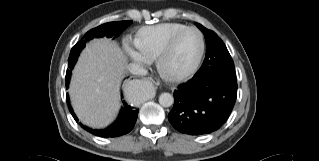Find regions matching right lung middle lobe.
I'll return each mask as SVG.
<instances>
[{"label": "right lung middle lobe", "instance_id": "right-lung-middle-lobe-1", "mask_svg": "<svg viewBox=\"0 0 319 161\" xmlns=\"http://www.w3.org/2000/svg\"><path fill=\"white\" fill-rule=\"evenodd\" d=\"M132 21H118V22H109L102 24L94 29L88 31L85 36L84 40H80L72 49L68 59V70L66 72V80H69L71 75V70L73 69L78 55L80 51L85 47L86 41L92 38L97 37H113L118 36L125 28H127Z\"/></svg>", "mask_w": 319, "mask_h": 161}]
</instances>
